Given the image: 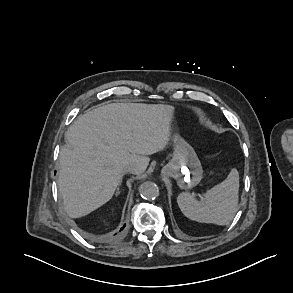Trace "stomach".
<instances>
[{
	"label": "stomach",
	"mask_w": 293,
	"mask_h": 293,
	"mask_svg": "<svg viewBox=\"0 0 293 293\" xmlns=\"http://www.w3.org/2000/svg\"><path fill=\"white\" fill-rule=\"evenodd\" d=\"M174 152L162 173L173 177L180 188L191 189L202 179L203 169L194 148L179 134L173 135Z\"/></svg>",
	"instance_id": "stomach-1"
}]
</instances>
